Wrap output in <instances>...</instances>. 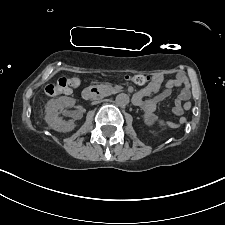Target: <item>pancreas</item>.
Returning <instances> with one entry per match:
<instances>
[{
    "label": "pancreas",
    "instance_id": "1",
    "mask_svg": "<svg viewBox=\"0 0 225 225\" xmlns=\"http://www.w3.org/2000/svg\"><path fill=\"white\" fill-rule=\"evenodd\" d=\"M99 89L104 95H110L118 91V87H112L111 85H100Z\"/></svg>",
    "mask_w": 225,
    "mask_h": 225
}]
</instances>
